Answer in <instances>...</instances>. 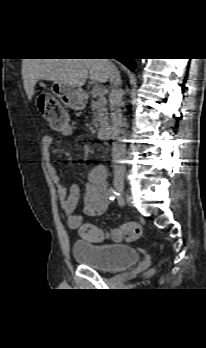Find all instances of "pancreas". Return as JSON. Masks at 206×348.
Returning a JSON list of instances; mask_svg holds the SVG:
<instances>
[{"instance_id":"obj_1","label":"pancreas","mask_w":206,"mask_h":348,"mask_svg":"<svg viewBox=\"0 0 206 348\" xmlns=\"http://www.w3.org/2000/svg\"><path fill=\"white\" fill-rule=\"evenodd\" d=\"M91 110L93 112V125L95 127L102 126L108 122V111L103 96L91 101Z\"/></svg>"}]
</instances>
